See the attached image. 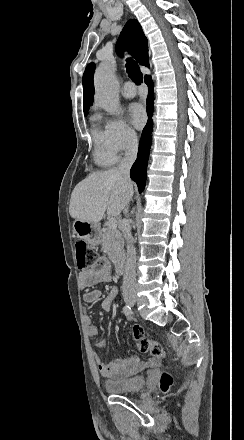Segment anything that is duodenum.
Returning <instances> with one entry per match:
<instances>
[{"label": "duodenum", "instance_id": "duodenum-1", "mask_svg": "<svg viewBox=\"0 0 244 440\" xmlns=\"http://www.w3.org/2000/svg\"><path fill=\"white\" fill-rule=\"evenodd\" d=\"M115 270L118 274H122L125 270L124 260L122 258H117L115 260Z\"/></svg>", "mask_w": 244, "mask_h": 440}]
</instances>
